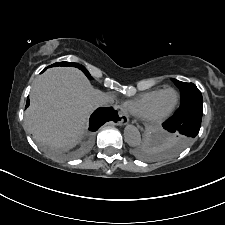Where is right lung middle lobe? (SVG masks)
<instances>
[{
	"instance_id": "dd1d6c3e",
	"label": "right lung middle lobe",
	"mask_w": 225,
	"mask_h": 225,
	"mask_svg": "<svg viewBox=\"0 0 225 225\" xmlns=\"http://www.w3.org/2000/svg\"><path fill=\"white\" fill-rule=\"evenodd\" d=\"M54 66H72V67H77L80 70L84 72V74L89 78L92 79L91 75L89 72L86 70V68L78 63H70V62H57L49 67H54Z\"/></svg>"
}]
</instances>
